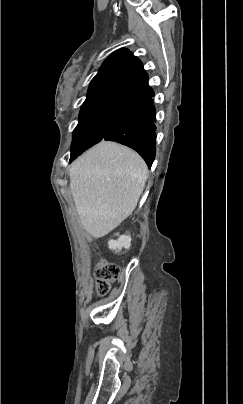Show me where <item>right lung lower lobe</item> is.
<instances>
[{"instance_id":"1","label":"right lung lower lobe","mask_w":243,"mask_h":404,"mask_svg":"<svg viewBox=\"0 0 243 404\" xmlns=\"http://www.w3.org/2000/svg\"><path fill=\"white\" fill-rule=\"evenodd\" d=\"M153 94L138 98L126 105L113 121L102 140L126 145L139 153L150 168L156 154V113Z\"/></svg>"}]
</instances>
